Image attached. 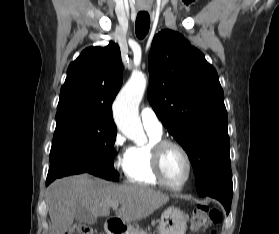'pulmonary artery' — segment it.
Masks as SVG:
<instances>
[{"label": "pulmonary artery", "instance_id": "pulmonary-artery-1", "mask_svg": "<svg viewBox=\"0 0 279 234\" xmlns=\"http://www.w3.org/2000/svg\"><path fill=\"white\" fill-rule=\"evenodd\" d=\"M140 117L147 131L154 134H162L163 126L152 107L144 106L141 109Z\"/></svg>", "mask_w": 279, "mask_h": 234}]
</instances>
